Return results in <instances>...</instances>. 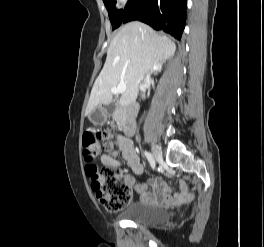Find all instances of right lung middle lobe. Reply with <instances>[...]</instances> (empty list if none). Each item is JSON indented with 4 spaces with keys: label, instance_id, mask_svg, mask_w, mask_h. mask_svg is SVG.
<instances>
[{
    "label": "right lung middle lobe",
    "instance_id": "obj_1",
    "mask_svg": "<svg viewBox=\"0 0 264 247\" xmlns=\"http://www.w3.org/2000/svg\"><path fill=\"white\" fill-rule=\"evenodd\" d=\"M133 1L134 0L128 1L127 5L125 7V10H117L114 7L115 3H116L115 0H103L104 4L106 6V9L108 10V14L110 17L111 24L113 26V30L120 26L127 9L133 3Z\"/></svg>",
    "mask_w": 264,
    "mask_h": 247
}]
</instances>
